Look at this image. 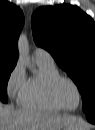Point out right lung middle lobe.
<instances>
[{
    "mask_svg": "<svg viewBox=\"0 0 95 130\" xmlns=\"http://www.w3.org/2000/svg\"><path fill=\"white\" fill-rule=\"evenodd\" d=\"M15 65H0V100L7 102V82Z\"/></svg>",
    "mask_w": 95,
    "mask_h": 130,
    "instance_id": "1",
    "label": "right lung middle lobe"
}]
</instances>
